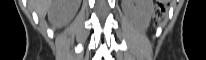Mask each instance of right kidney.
<instances>
[{
	"label": "right kidney",
	"mask_w": 206,
	"mask_h": 60,
	"mask_svg": "<svg viewBox=\"0 0 206 60\" xmlns=\"http://www.w3.org/2000/svg\"><path fill=\"white\" fill-rule=\"evenodd\" d=\"M80 3L67 0H57L52 3L48 12L49 20L53 25L66 24L76 13Z\"/></svg>",
	"instance_id": "ca27d5eb"
}]
</instances>
